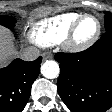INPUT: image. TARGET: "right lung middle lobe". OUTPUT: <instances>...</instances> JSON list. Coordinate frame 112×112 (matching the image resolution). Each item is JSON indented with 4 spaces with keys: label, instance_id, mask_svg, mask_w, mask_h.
Wrapping results in <instances>:
<instances>
[{
    "label": "right lung middle lobe",
    "instance_id": "1",
    "mask_svg": "<svg viewBox=\"0 0 112 112\" xmlns=\"http://www.w3.org/2000/svg\"><path fill=\"white\" fill-rule=\"evenodd\" d=\"M16 22V19L11 16H0V25H3L9 29H13Z\"/></svg>",
    "mask_w": 112,
    "mask_h": 112
}]
</instances>
